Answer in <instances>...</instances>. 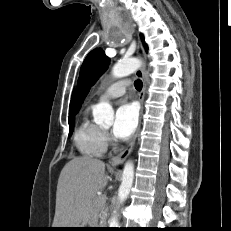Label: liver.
Here are the masks:
<instances>
[{"instance_id": "liver-1", "label": "liver", "mask_w": 231, "mask_h": 231, "mask_svg": "<svg viewBox=\"0 0 231 231\" xmlns=\"http://www.w3.org/2000/svg\"><path fill=\"white\" fill-rule=\"evenodd\" d=\"M107 183L103 161L88 156L69 161L58 179L53 228H79L89 222L96 194Z\"/></svg>"}]
</instances>
